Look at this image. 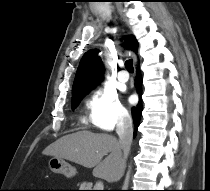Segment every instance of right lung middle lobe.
Wrapping results in <instances>:
<instances>
[{"label": "right lung middle lobe", "instance_id": "dd1d6c3e", "mask_svg": "<svg viewBox=\"0 0 210 191\" xmlns=\"http://www.w3.org/2000/svg\"><path fill=\"white\" fill-rule=\"evenodd\" d=\"M87 94V93H86ZM86 94H82L80 96L75 97L74 99H72V110L76 109L77 106L79 105L81 99L86 95Z\"/></svg>", "mask_w": 210, "mask_h": 191}]
</instances>
